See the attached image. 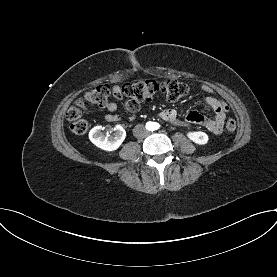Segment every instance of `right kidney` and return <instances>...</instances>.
Listing matches in <instances>:
<instances>
[{
	"mask_svg": "<svg viewBox=\"0 0 277 277\" xmlns=\"http://www.w3.org/2000/svg\"><path fill=\"white\" fill-rule=\"evenodd\" d=\"M103 130L104 128L102 126L92 128L89 132L90 141L98 148L105 151H114L118 149L126 137L124 128L121 125H116L113 128L115 131L114 138L104 136L102 133Z\"/></svg>",
	"mask_w": 277,
	"mask_h": 277,
	"instance_id": "ca27d5eb",
	"label": "right kidney"
}]
</instances>
